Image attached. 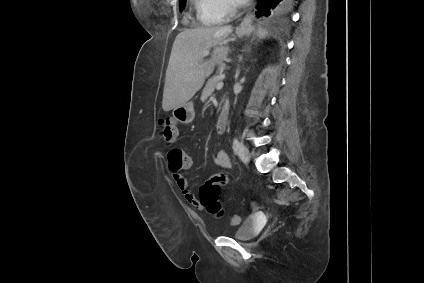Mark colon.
Here are the masks:
<instances>
[{"instance_id": "colon-1", "label": "colon", "mask_w": 424, "mask_h": 283, "mask_svg": "<svg viewBox=\"0 0 424 283\" xmlns=\"http://www.w3.org/2000/svg\"><path fill=\"white\" fill-rule=\"evenodd\" d=\"M160 134L161 137L168 143L176 140L178 136V129L171 118H165L160 121ZM169 169L171 171H180L189 165L187 154L179 149L172 148L168 152ZM228 177L224 173H217L208 178L200 187L199 197L201 205L206 208L210 213L221 216L222 209L219 202V194L221 187L227 185ZM240 217L232 215L229 217L231 225H238Z\"/></svg>"}]
</instances>
